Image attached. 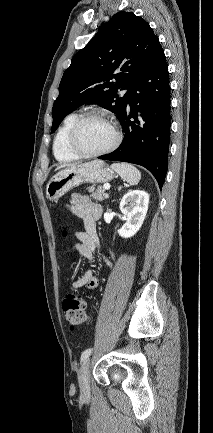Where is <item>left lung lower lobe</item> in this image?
<instances>
[{
  "mask_svg": "<svg viewBox=\"0 0 213 433\" xmlns=\"http://www.w3.org/2000/svg\"><path fill=\"white\" fill-rule=\"evenodd\" d=\"M170 110L168 66L160 46L130 90L119 120L125 132L121 145L98 158L141 165L154 175L162 188L167 172Z\"/></svg>",
  "mask_w": 213,
  "mask_h": 433,
  "instance_id": "obj_1",
  "label": "left lung lower lobe"
}]
</instances>
